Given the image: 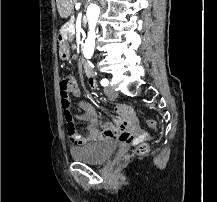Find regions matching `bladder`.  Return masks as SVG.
<instances>
[{
    "instance_id": "1",
    "label": "bladder",
    "mask_w": 217,
    "mask_h": 202,
    "mask_svg": "<svg viewBox=\"0 0 217 202\" xmlns=\"http://www.w3.org/2000/svg\"><path fill=\"white\" fill-rule=\"evenodd\" d=\"M117 147L118 144L113 140H105L84 145L80 149H72L71 157L87 164L105 163Z\"/></svg>"
}]
</instances>
